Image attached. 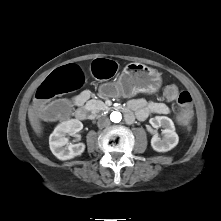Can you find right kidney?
I'll list each match as a JSON object with an SVG mask.
<instances>
[{
	"label": "right kidney",
	"mask_w": 221,
	"mask_h": 221,
	"mask_svg": "<svg viewBox=\"0 0 221 221\" xmlns=\"http://www.w3.org/2000/svg\"><path fill=\"white\" fill-rule=\"evenodd\" d=\"M83 124L77 119H71L57 125L49 137L52 153L60 160L72 159L81 155L85 150L84 143H69L67 134L75 135L82 130Z\"/></svg>",
	"instance_id": "1"
}]
</instances>
